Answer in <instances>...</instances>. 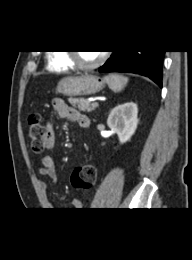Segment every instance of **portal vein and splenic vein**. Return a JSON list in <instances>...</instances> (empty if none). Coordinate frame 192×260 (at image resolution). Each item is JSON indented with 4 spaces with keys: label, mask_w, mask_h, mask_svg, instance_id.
Returning <instances> with one entry per match:
<instances>
[{
    "label": "portal vein and splenic vein",
    "mask_w": 192,
    "mask_h": 260,
    "mask_svg": "<svg viewBox=\"0 0 192 260\" xmlns=\"http://www.w3.org/2000/svg\"><path fill=\"white\" fill-rule=\"evenodd\" d=\"M99 106V104L97 103V102H94V103H92V107H98Z\"/></svg>",
    "instance_id": "18ae733b"
}]
</instances>
